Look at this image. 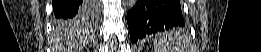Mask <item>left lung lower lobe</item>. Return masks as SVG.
Returning a JSON list of instances; mask_svg holds the SVG:
<instances>
[{
  "label": "left lung lower lobe",
  "mask_w": 261,
  "mask_h": 52,
  "mask_svg": "<svg viewBox=\"0 0 261 52\" xmlns=\"http://www.w3.org/2000/svg\"><path fill=\"white\" fill-rule=\"evenodd\" d=\"M131 42L184 26L179 0H138L127 14Z\"/></svg>",
  "instance_id": "obj_1"
}]
</instances>
